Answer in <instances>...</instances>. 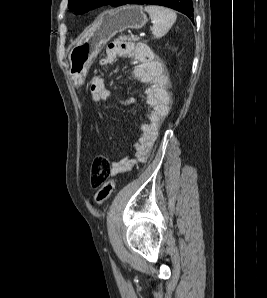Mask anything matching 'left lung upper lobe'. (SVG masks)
I'll use <instances>...</instances> for the list:
<instances>
[{
  "label": "left lung upper lobe",
  "instance_id": "5c2ea615",
  "mask_svg": "<svg viewBox=\"0 0 267 298\" xmlns=\"http://www.w3.org/2000/svg\"><path fill=\"white\" fill-rule=\"evenodd\" d=\"M122 0H69L68 7L76 14L85 13L105 4L119 6Z\"/></svg>",
  "mask_w": 267,
  "mask_h": 298
}]
</instances>
